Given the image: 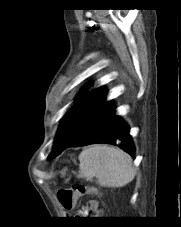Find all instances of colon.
<instances>
[{"instance_id":"1","label":"colon","mask_w":181,"mask_h":227,"mask_svg":"<svg viewBox=\"0 0 181 227\" xmlns=\"http://www.w3.org/2000/svg\"><path fill=\"white\" fill-rule=\"evenodd\" d=\"M95 193H97L95 188L82 183H76L71 189L59 191L58 199L67 211H71L75 207L77 198Z\"/></svg>"}]
</instances>
